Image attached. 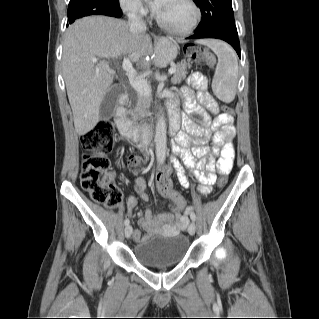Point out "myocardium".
<instances>
[{"mask_svg": "<svg viewBox=\"0 0 319 319\" xmlns=\"http://www.w3.org/2000/svg\"><path fill=\"white\" fill-rule=\"evenodd\" d=\"M184 1L188 4L193 13L191 20L186 25L181 27L170 25L163 21L157 14H155V21L158 24V26L175 35L189 34L197 26L199 19L201 17V11L194 0Z\"/></svg>", "mask_w": 319, "mask_h": 319, "instance_id": "f54148a6", "label": "myocardium"}]
</instances>
